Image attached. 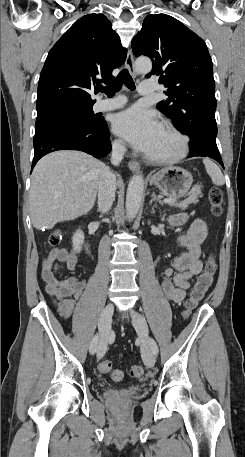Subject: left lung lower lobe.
<instances>
[{"label": "left lung lower lobe", "instance_id": "0a47b994", "mask_svg": "<svg viewBox=\"0 0 245 457\" xmlns=\"http://www.w3.org/2000/svg\"><path fill=\"white\" fill-rule=\"evenodd\" d=\"M190 137L191 155L215 159L223 166L216 144L217 125L215 113L202 112L188 117L184 123L175 126Z\"/></svg>", "mask_w": 245, "mask_h": 457}]
</instances>
